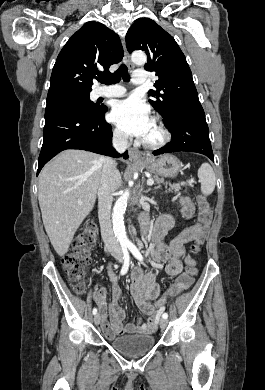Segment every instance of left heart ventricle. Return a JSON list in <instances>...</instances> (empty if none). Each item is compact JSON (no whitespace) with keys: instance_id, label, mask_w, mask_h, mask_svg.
Instances as JSON below:
<instances>
[{"instance_id":"left-heart-ventricle-1","label":"left heart ventricle","mask_w":265,"mask_h":390,"mask_svg":"<svg viewBox=\"0 0 265 390\" xmlns=\"http://www.w3.org/2000/svg\"><path fill=\"white\" fill-rule=\"evenodd\" d=\"M157 137H158V132H157L155 126L153 125L151 131L149 132V134H148V136L146 137L145 140L153 141V140H155Z\"/></svg>"}]
</instances>
